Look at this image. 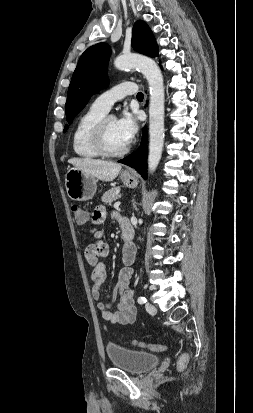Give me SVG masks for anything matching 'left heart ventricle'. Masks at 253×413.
<instances>
[{
	"label": "left heart ventricle",
	"instance_id": "1",
	"mask_svg": "<svg viewBox=\"0 0 253 413\" xmlns=\"http://www.w3.org/2000/svg\"><path fill=\"white\" fill-rule=\"evenodd\" d=\"M104 132L106 145L109 149L119 150L126 145L117 131L116 120L114 118H109L106 121Z\"/></svg>",
	"mask_w": 253,
	"mask_h": 413
}]
</instances>
